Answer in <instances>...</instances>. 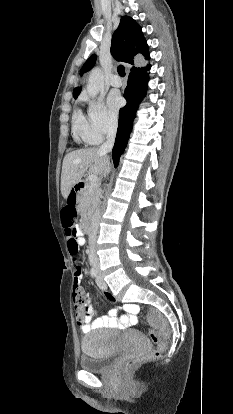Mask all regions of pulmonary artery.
Segmentation results:
<instances>
[{
	"label": "pulmonary artery",
	"mask_w": 233,
	"mask_h": 414,
	"mask_svg": "<svg viewBox=\"0 0 233 414\" xmlns=\"http://www.w3.org/2000/svg\"><path fill=\"white\" fill-rule=\"evenodd\" d=\"M110 84L114 87H120L123 82L122 79L117 74H115L111 77Z\"/></svg>",
	"instance_id": "e3ab8cb5"
}]
</instances>
